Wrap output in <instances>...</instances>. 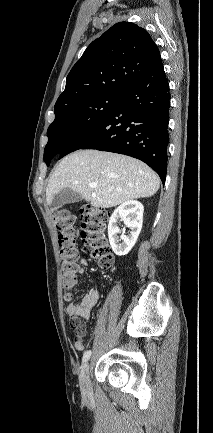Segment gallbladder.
<instances>
[{
    "mask_svg": "<svg viewBox=\"0 0 213 433\" xmlns=\"http://www.w3.org/2000/svg\"><path fill=\"white\" fill-rule=\"evenodd\" d=\"M82 200V196L71 189H62L53 198L51 208L57 210L65 204L75 203Z\"/></svg>",
    "mask_w": 213,
    "mask_h": 433,
    "instance_id": "obj_1",
    "label": "gallbladder"
}]
</instances>
